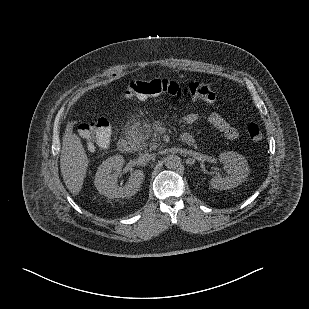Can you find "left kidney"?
Listing matches in <instances>:
<instances>
[{
    "instance_id": "obj_1",
    "label": "left kidney",
    "mask_w": 309,
    "mask_h": 309,
    "mask_svg": "<svg viewBox=\"0 0 309 309\" xmlns=\"http://www.w3.org/2000/svg\"><path fill=\"white\" fill-rule=\"evenodd\" d=\"M219 160L225 164L228 176H214L210 180V185L214 189H232L246 181L249 174V166L243 155L237 152L227 151L219 155Z\"/></svg>"
}]
</instances>
